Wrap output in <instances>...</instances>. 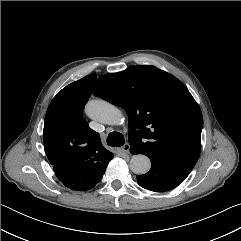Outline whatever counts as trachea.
I'll return each instance as SVG.
<instances>
[{
  "label": "trachea",
  "instance_id": "obj_1",
  "mask_svg": "<svg viewBox=\"0 0 241 241\" xmlns=\"http://www.w3.org/2000/svg\"><path fill=\"white\" fill-rule=\"evenodd\" d=\"M124 136L119 132H111L107 137V144L112 147H120L124 145Z\"/></svg>",
  "mask_w": 241,
  "mask_h": 241
}]
</instances>
